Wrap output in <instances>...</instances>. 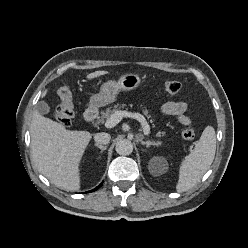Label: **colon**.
<instances>
[{
	"label": "colon",
	"instance_id": "obj_1",
	"mask_svg": "<svg viewBox=\"0 0 248 248\" xmlns=\"http://www.w3.org/2000/svg\"><path fill=\"white\" fill-rule=\"evenodd\" d=\"M181 83L176 80L165 82L164 90L166 93L174 95L181 90ZM60 103L54 113L56 120L63 126L67 127L71 124L74 118V106L72 92L68 86H62L58 90ZM196 136V131L193 127L187 126L182 131V137L186 140H193Z\"/></svg>",
	"mask_w": 248,
	"mask_h": 248
}]
</instances>
